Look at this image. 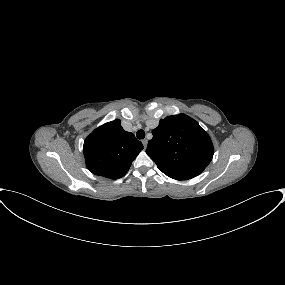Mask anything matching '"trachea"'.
Here are the masks:
<instances>
[{"instance_id": "trachea-1", "label": "trachea", "mask_w": 285, "mask_h": 285, "mask_svg": "<svg viewBox=\"0 0 285 285\" xmlns=\"http://www.w3.org/2000/svg\"><path fill=\"white\" fill-rule=\"evenodd\" d=\"M136 136H137V138L138 139H144L145 138V132H144V130H139V131H137V133H136Z\"/></svg>"}]
</instances>
